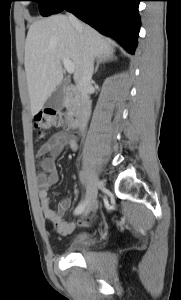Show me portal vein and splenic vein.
I'll return each instance as SVG.
<instances>
[{
  "label": "portal vein and splenic vein",
  "mask_w": 181,
  "mask_h": 300,
  "mask_svg": "<svg viewBox=\"0 0 181 300\" xmlns=\"http://www.w3.org/2000/svg\"><path fill=\"white\" fill-rule=\"evenodd\" d=\"M62 62H63V65H64L66 71H67L69 74L74 73L75 67H74V64L72 63L71 60H69L68 58L63 57V58H62Z\"/></svg>",
  "instance_id": "obj_1"
}]
</instances>
